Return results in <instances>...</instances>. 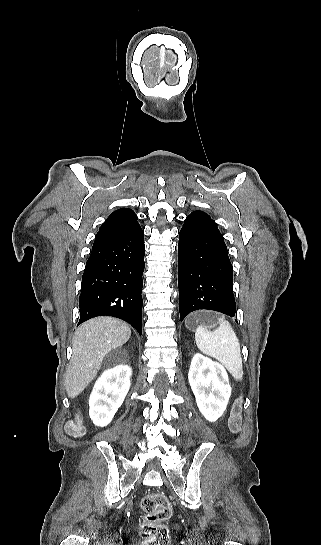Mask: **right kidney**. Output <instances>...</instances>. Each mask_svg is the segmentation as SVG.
<instances>
[{
    "instance_id": "1",
    "label": "right kidney",
    "mask_w": 321,
    "mask_h": 545,
    "mask_svg": "<svg viewBox=\"0 0 321 545\" xmlns=\"http://www.w3.org/2000/svg\"><path fill=\"white\" fill-rule=\"evenodd\" d=\"M131 367L107 369L96 381L89 397V417L96 427H107L121 407L131 385Z\"/></svg>"
}]
</instances>
